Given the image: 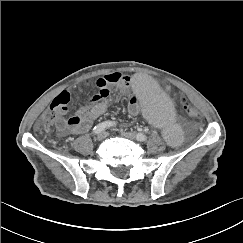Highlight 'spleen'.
<instances>
[{"label": "spleen", "mask_w": 243, "mask_h": 243, "mask_svg": "<svg viewBox=\"0 0 243 243\" xmlns=\"http://www.w3.org/2000/svg\"><path fill=\"white\" fill-rule=\"evenodd\" d=\"M130 91L162 143L174 145L183 139L184 122L177 114L172 99L153 75H136L131 81Z\"/></svg>", "instance_id": "spleen-1"}]
</instances>
